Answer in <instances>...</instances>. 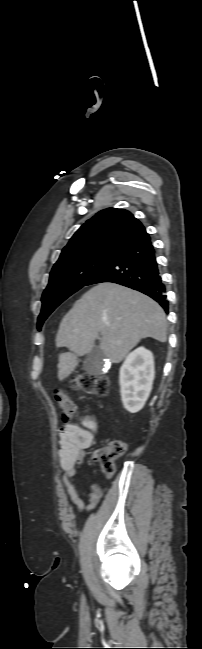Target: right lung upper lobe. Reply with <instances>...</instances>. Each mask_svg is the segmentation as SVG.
<instances>
[{
	"label": "right lung upper lobe",
	"mask_w": 202,
	"mask_h": 649,
	"mask_svg": "<svg viewBox=\"0 0 202 649\" xmlns=\"http://www.w3.org/2000/svg\"><path fill=\"white\" fill-rule=\"evenodd\" d=\"M146 236L148 233L144 226L129 211L107 208L76 231L62 250L59 260L91 251L117 254Z\"/></svg>",
	"instance_id": "cb5924a9"
}]
</instances>
